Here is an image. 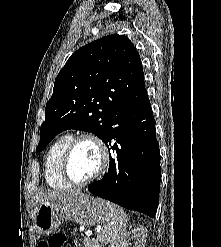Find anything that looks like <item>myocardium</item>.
<instances>
[{"instance_id":"myocardium-1","label":"myocardium","mask_w":221,"mask_h":247,"mask_svg":"<svg viewBox=\"0 0 221 247\" xmlns=\"http://www.w3.org/2000/svg\"><path fill=\"white\" fill-rule=\"evenodd\" d=\"M83 141H89L97 147L100 156V164L97 171L91 177L84 181H75L69 173V161L75 147ZM110 159V152L106 143L92 132H83L73 137L68 144L61 160V175L70 185L85 186L100 179L106 173L110 165Z\"/></svg>"}]
</instances>
